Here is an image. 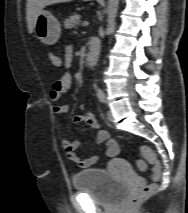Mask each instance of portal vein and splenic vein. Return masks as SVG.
I'll return each mask as SVG.
<instances>
[{"instance_id": "1", "label": "portal vein and splenic vein", "mask_w": 188, "mask_h": 213, "mask_svg": "<svg viewBox=\"0 0 188 213\" xmlns=\"http://www.w3.org/2000/svg\"><path fill=\"white\" fill-rule=\"evenodd\" d=\"M88 21H83V23H82V26H84V27H86V26H88Z\"/></svg>"}]
</instances>
